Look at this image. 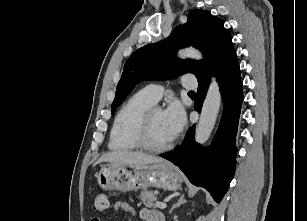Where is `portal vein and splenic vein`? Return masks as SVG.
I'll return each mask as SVG.
<instances>
[{
    "mask_svg": "<svg viewBox=\"0 0 307 221\" xmlns=\"http://www.w3.org/2000/svg\"><path fill=\"white\" fill-rule=\"evenodd\" d=\"M156 207L160 208V209H165L166 208V204L163 202H156L155 203Z\"/></svg>",
    "mask_w": 307,
    "mask_h": 221,
    "instance_id": "obj_1",
    "label": "portal vein and splenic vein"
}]
</instances>
